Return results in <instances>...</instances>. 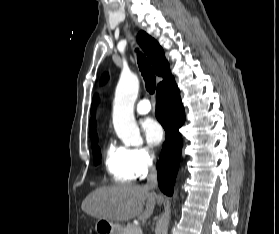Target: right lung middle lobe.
<instances>
[{
    "instance_id": "right-lung-middle-lobe-1",
    "label": "right lung middle lobe",
    "mask_w": 279,
    "mask_h": 234,
    "mask_svg": "<svg viewBox=\"0 0 279 234\" xmlns=\"http://www.w3.org/2000/svg\"><path fill=\"white\" fill-rule=\"evenodd\" d=\"M97 142V141H96ZM92 151H93V157H94V163L99 164L100 158H101V153L99 147L94 143L92 145Z\"/></svg>"
}]
</instances>
